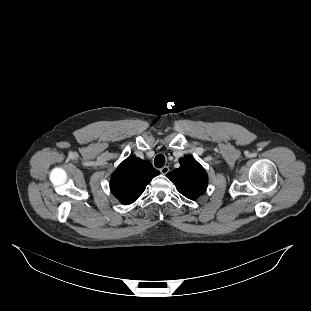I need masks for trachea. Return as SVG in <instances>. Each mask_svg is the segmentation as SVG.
<instances>
[{"mask_svg":"<svg viewBox=\"0 0 311 311\" xmlns=\"http://www.w3.org/2000/svg\"><path fill=\"white\" fill-rule=\"evenodd\" d=\"M154 165L161 168L165 165V157L162 154H158L154 159Z\"/></svg>","mask_w":311,"mask_h":311,"instance_id":"trachea-1","label":"trachea"}]
</instances>
